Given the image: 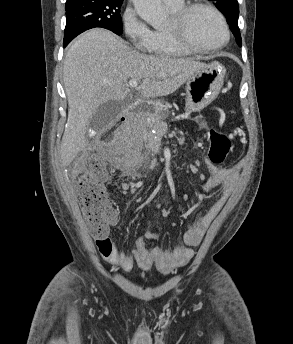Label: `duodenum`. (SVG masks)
Listing matches in <instances>:
<instances>
[{"mask_svg":"<svg viewBox=\"0 0 293 344\" xmlns=\"http://www.w3.org/2000/svg\"><path fill=\"white\" fill-rule=\"evenodd\" d=\"M129 120H130V115H129V113H126V114L121 116L119 123L124 124L125 122H128Z\"/></svg>","mask_w":293,"mask_h":344,"instance_id":"410a0bca","label":"duodenum"}]
</instances>
